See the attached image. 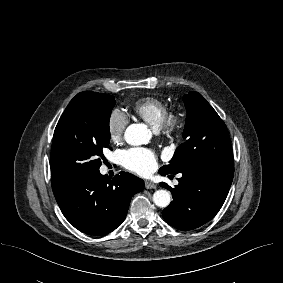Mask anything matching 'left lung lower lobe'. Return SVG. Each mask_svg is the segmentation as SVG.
I'll list each match as a JSON object with an SVG mask.
<instances>
[{"mask_svg":"<svg viewBox=\"0 0 283 283\" xmlns=\"http://www.w3.org/2000/svg\"><path fill=\"white\" fill-rule=\"evenodd\" d=\"M180 173L182 177L175 188L160 183L173 196L162 214L169 225L193 230L210 221L222 207L232 184L234 165L221 169L195 168Z\"/></svg>","mask_w":283,"mask_h":283,"instance_id":"1","label":"left lung lower lobe"}]
</instances>
